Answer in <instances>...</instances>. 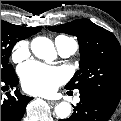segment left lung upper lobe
I'll return each instance as SVG.
<instances>
[{
    "mask_svg": "<svg viewBox=\"0 0 121 121\" xmlns=\"http://www.w3.org/2000/svg\"><path fill=\"white\" fill-rule=\"evenodd\" d=\"M48 28L74 35L80 44V69L65 88L97 92L118 104L121 97V47L116 37L88 19Z\"/></svg>",
    "mask_w": 121,
    "mask_h": 121,
    "instance_id": "5c2ea615",
    "label": "left lung upper lobe"
}]
</instances>
